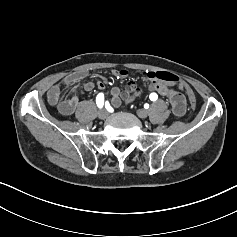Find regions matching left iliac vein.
<instances>
[{
	"label": "left iliac vein",
	"mask_w": 237,
	"mask_h": 237,
	"mask_svg": "<svg viewBox=\"0 0 237 237\" xmlns=\"http://www.w3.org/2000/svg\"><path fill=\"white\" fill-rule=\"evenodd\" d=\"M136 113L139 118H146L148 116V111L145 109H139Z\"/></svg>",
	"instance_id": "obj_1"
}]
</instances>
